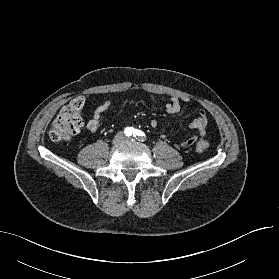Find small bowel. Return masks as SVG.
<instances>
[{"label": "small bowel", "mask_w": 279, "mask_h": 279, "mask_svg": "<svg viewBox=\"0 0 279 279\" xmlns=\"http://www.w3.org/2000/svg\"><path fill=\"white\" fill-rule=\"evenodd\" d=\"M187 102L188 100L186 98H178V97L171 98L165 105V111L168 114L178 113L182 109L183 105ZM111 105H112V101L107 100L95 109L92 119H90L87 123V129L89 131L93 133L98 131L104 119V114L111 107ZM207 124H208L207 115L204 110H200L196 119H194L189 125L191 129L197 131V134L183 141L180 144V147L181 148L189 147L192 144H194L199 137H203L206 133ZM151 126L156 127L157 122L155 120L151 121Z\"/></svg>", "instance_id": "small-bowel-1"}]
</instances>
